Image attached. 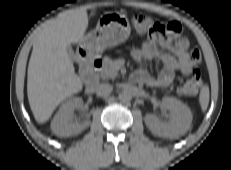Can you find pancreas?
<instances>
[{"instance_id":"cf45deb5","label":"pancreas","mask_w":231,"mask_h":170,"mask_svg":"<svg viewBox=\"0 0 231 170\" xmlns=\"http://www.w3.org/2000/svg\"><path fill=\"white\" fill-rule=\"evenodd\" d=\"M118 75V71L114 66V61L109 58L105 57L103 61V69L101 71V78L103 80L114 79Z\"/></svg>"}]
</instances>
